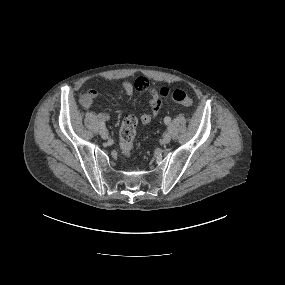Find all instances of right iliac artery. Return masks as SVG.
I'll use <instances>...</instances> for the list:
<instances>
[{
	"instance_id": "1",
	"label": "right iliac artery",
	"mask_w": 285,
	"mask_h": 285,
	"mask_svg": "<svg viewBox=\"0 0 285 285\" xmlns=\"http://www.w3.org/2000/svg\"><path fill=\"white\" fill-rule=\"evenodd\" d=\"M99 127L102 129L105 127V124L103 122H100Z\"/></svg>"
}]
</instances>
